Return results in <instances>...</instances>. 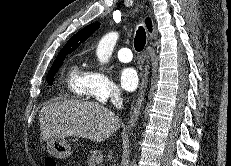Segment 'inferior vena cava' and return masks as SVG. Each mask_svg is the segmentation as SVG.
Here are the masks:
<instances>
[{"instance_id":"602c4592","label":"inferior vena cava","mask_w":231,"mask_h":166,"mask_svg":"<svg viewBox=\"0 0 231 166\" xmlns=\"http://www.w3.org/2000/svg\"><path fill=\"white\" fill-rule=\"evenodd\" d=\"M111 102L117 108L120 109L122 107V98L118 92H114L111 94Z\"/></svg>"}]
</instances>
